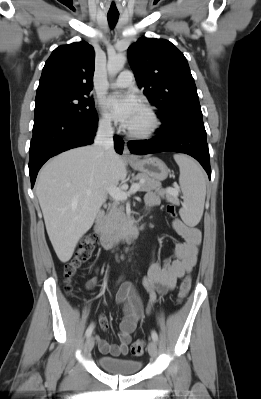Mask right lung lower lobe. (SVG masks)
I'll use <instances>...</instances> for the list:
<instances>
[{"label": "right lung lower lobe", "mask_w": 261, "mask_h": 399, "mask_svg": "<svg viewBox=\"0 0 261 399\" xmlns=\"http://www.w3.org/2000/svg\"><path fill=\"white\" fill-rule=\"evenodd\" d=\"M97 121L83 122L64 114H49L34 118L33 137L30 144L29 174L32 187L42 165L51 157L78 146L91 144ZM115 150L123 152L124 142L114 137Z\"/></svg>", "instance_id": "right-lung-lower-lobe-1"}]
</instances>
